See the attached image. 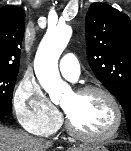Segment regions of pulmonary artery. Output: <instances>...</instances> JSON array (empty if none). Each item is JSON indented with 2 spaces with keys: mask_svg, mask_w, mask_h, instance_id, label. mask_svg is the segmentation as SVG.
I'll use <instances>...</instances> for the list:
<instances>
[{
  "mask_svg": "<svg viewBox=\"0 0 131 151\" xmlns=\"http://www.w3.org/2000/svg\"><path fill=\"white\" fill-rule=\"evenodd\" d=\"M61 74L72 81L78 79L80 75V67L76 56L73 53L65 54L59 63Z\"/></svg>",
  "mask_w": 131,
  "mask_h": 151,
  "instance_id": "1",
  "label": "pulmonary artery"
}]
</instances>
